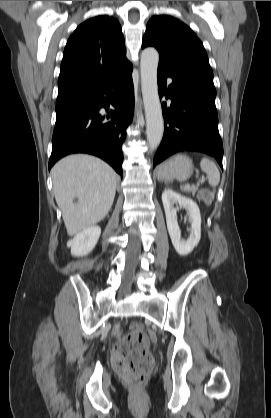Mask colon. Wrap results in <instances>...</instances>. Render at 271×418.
<instances>
[{
	"label": "colon",
	"instance_id": "obj_1",
	"mask_svg": "<svg viewBox=\"0 0 271 418\" xmlns=\"http://www.w3.org/2000/svg\"><path fill=\"white\" fill-rule=\"evenodd\" d=\"M199 197L205 204H210L213 194L209 190H202ZM111 363L116 373L126 382L138 384L144 381L153 368L146 332L137 328L122 338L112 352Z\"/></svg>",
	"mask_w": 271,
	"mask_h": 418
}]
</instances>
